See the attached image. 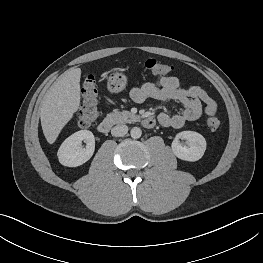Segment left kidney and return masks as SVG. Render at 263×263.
<instances>
[{
    "label": "left kidney",
    "instance_id": "obj_1",
    "mask_svg": "<svg viewBox=\"0 0 263 263\" xmlns=\"http://www.w3.org/2000/svg\"><path fill=\"white\" fill-rule=\"evenodd\" d=\"M187 140L188 146H183L179 139ZM176 157L185 161H197L204 155L206 150L205 138L194 131H183L176 135L171 145Z\"/></svg>",
    "mask_w": 263,
    "mask_h": 263
}]
</instances>
